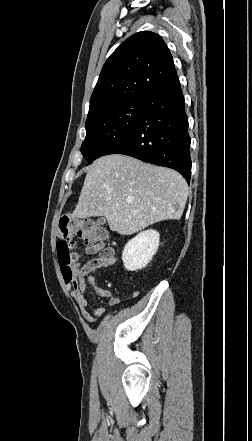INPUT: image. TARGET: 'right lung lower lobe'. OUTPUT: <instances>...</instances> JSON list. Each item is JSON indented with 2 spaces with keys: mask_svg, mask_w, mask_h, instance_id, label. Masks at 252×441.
<instances>
[{
  "mask_svg": "<svg viewBox=\"0 0 252 441\" xmlns=\"http://www.w3.org/2000/svg\"><path fill=\"white\" fill-rule=\"evenodd\" d=\"M144 110L133 129L105 155L124 154L173 168L189 183L191 175L188 117L175 74L144 97Z\"/></svg>",
  "mask_w": 252,
  "mask_h": 441,
  "instance_id": "1",
  "label": "right lung lower lobe"
}]
</instances>
